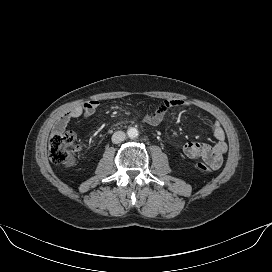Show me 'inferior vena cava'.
I'll use <instances>...</instances> for the list:
<instances>
[{
    "label": "inferior vena cava",
    "instance_id": "602c4592",
    "mask_svg": "<svg viewBox=\"0 0 272 272\" xmlns=\"http://www.w3.org/2000/svg\"><path fill=\"white\" fill-rule=\"evenodd\" d=\"M126 138V134L123 131H117L112 135V142L114 144H118L124 141Z\"/></svg>",
    "mask_w": 272,
    "mask_h": 272
}]
</instances>
